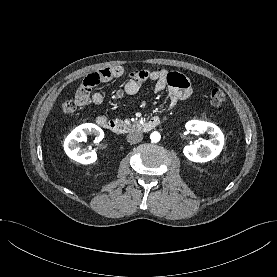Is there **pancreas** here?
Here are the masks:
<instances>
[{
	"instance_id": "pancreas-1",
	"label": "pancreas",
	"mask_w": 277,
	"mask_h": 277,
	"mask_svg": "<svg viewBox=\"0 0 277 277\" xmlns=\"http://www.w3.org/2000/svg\"><path fill=\"white\" fill-rule=\"evenodd\" d=\"M118 122L125 131L141 130V128L143 127V125H141L138 121L132 124L128 120L127 121L119 120Z\"/></svg>"
}]
</instances>
